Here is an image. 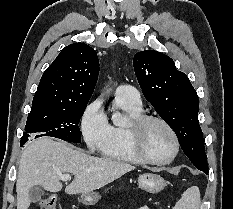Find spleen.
<instances>
[{
	"mask_svg": "<svg viewBox=\"0 0 233 209\" xmlns=\"http://www.w3.org/2000/svg\"><path fill=\"white\" fill-rule=\"evenodd\" d=\"M201 203L200 191L197 186L188 188L177 202V209H199Z\"/></svg>",
	"mask_w": 233,
	"mask_h": 209,
	"instance_id": "1",
	"label": "spleen"
}]
</instances>
